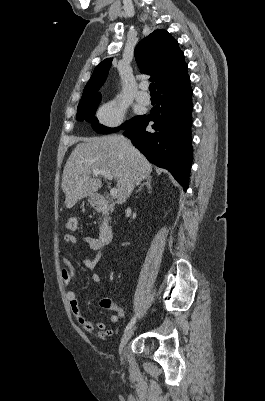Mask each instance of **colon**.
Segmentation results:
<instances>
[{
    "label": "colon",
    "instance_id": "1",
    "mask_svg": "<svg viewBox=\"0 0 265 401\" xmlns=\"http://www.w3.org/2000/svg\"><path fill=\"white\" fill-rule=\"evenodd\" d=\"M66 227L68 230L71 231L75 230L77 228V218L74 216H70L67 219ZM103 305L109 310L113 311L118 310V304L110 300H104Z\"/></svg>",
    "mask_w": 265,
    "mask_h": 401
}]
</instances>
